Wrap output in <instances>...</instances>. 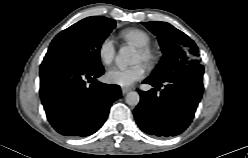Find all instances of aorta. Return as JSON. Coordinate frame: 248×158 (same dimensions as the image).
Wrapping results in <instances>:
<instances>
[{
    "mask_svg": "<svg viewBox=\"0 0 248 158\" xmlns=\"http://www.w3.org/2000/svg\"><path fill=\"white\" fill-rule=\"evenodd\" d=\"M135 52L130 47H122L116 57V63L120 68H125L134 63ZM126 103L130 106L138 105L140 96L136 91H131L126 95Z\"/></svg>",
    "mask_w": 248,
    "mask_h": 158,
    "instance_id": "1",
    "label": "aorta"
}]
</instances>
